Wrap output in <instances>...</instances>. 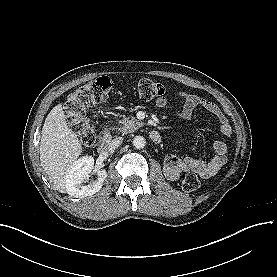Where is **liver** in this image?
Here are the masks:
<instances>
[{
    "label": "liver",
    "mask_w": 277,
    "mask_h": 277,
    "mask_svg": "<svg viewBox=\"0 0 277 277\" xmlns=\"http://www.w3.org/2000/svg\"><path fill=\"white\" fill-rule=\"evenodd\" d=\"M83 152L82 141L65 120L62 104L55 105L43 124L39 147L40 165L55 190L76 194L68 173Z\"/></svg>",
    "instance_id": "liver-1"
}]
</instances>
